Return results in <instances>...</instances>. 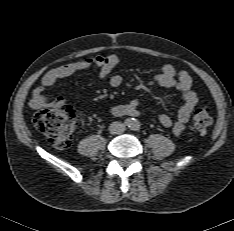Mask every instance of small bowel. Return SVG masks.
<instances>
[{"mask_svg":"<svg viewBox=\"0 0 234 231\" xmlns=\"http://www.w3.org/2000/svg\"><path fill=\"white\" fill-rule=\"evenodd\" d=\"M120 64V58L112 54L87 57L53 68L43 76L40 84L34 89L30 105L33 109L58 108L62 106L65 101L64 98L57 97L50 99L47 90L59 79L94 67L98 68V77L100 79H108L110 86L114 88L119 87L123 82V78L120 74L112 72ZM152 80L162 87L175 88L181 94L182 105L177 111L176 120H173L168 114L162 113L159 115V121L164 127L171 128L176 136L182 135L186 129L190 115L198 102L197 93L192 89L190 75L185 71L176 73L172 65L166 64L161 68L159 73L153 75ZM141 104L142 102L139 99H132L127 104L112 105L109 111L114 116L138 117L141 115Z\"/></svg>","mask_w":234,"mask_h":231,"instance_id":"1","label":"small bowel"}]
</instances>
